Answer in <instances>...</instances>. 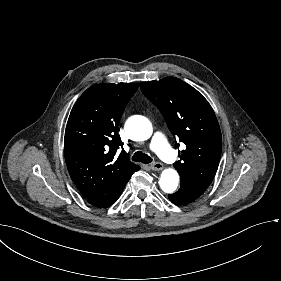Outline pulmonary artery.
I'll use <instances>...</instances> for the list:
<instances>
[{"label":"pulmonary artery","mask_w":281,"mask_h":281,"mask_svg":"<svg viewBox=\"0 0 281 281\" xmlns=\"http://www.w3.org/2000/svg\"><path fill=\"white\" fill-rule=\"evenodd\" d=\"M151 139L161 158L165 159V161L170 165H173L177 162L178 156L176 151L168 144L161 132H154L151 136Z\"/></svg>","instance_id":"1"}]
</instances>
